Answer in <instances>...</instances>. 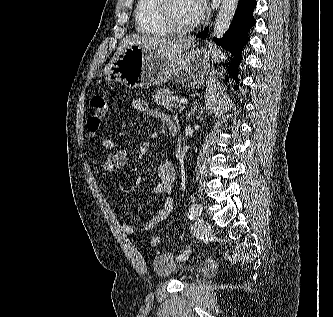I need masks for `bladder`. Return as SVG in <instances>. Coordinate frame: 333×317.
<instances>
[{
  "label": "bladder",
  "instance_id": "obj_1",
  "mask_svg": "<svg viewBox=\"0 0 333 317\" xmlns=\"http://www.w3.org/2000/svg\"><path fill=\"white\" fill-rule=\"evenodd\" d=\"M152 269L159 278L183 280L194 272L195 266L177 261L171 253H162L153 258Z\"/></svg>",
  "mask_w": 333,
  "mask_h": 317
}]
</instances>
